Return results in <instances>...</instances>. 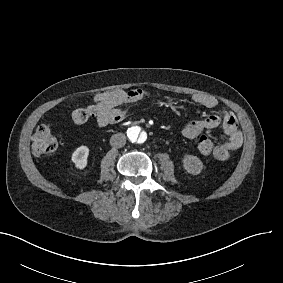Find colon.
I'll return each mask as SVG.
<instances>
[{
    "mask_svg": "<svg viewBox=\"0 0 283 283\" xmlns=\"http://www.w3.org/2000/svg\"><path fill=\"white\" fill-rule=\"evenodd\" d=\"M95 116L93 107H78L71 113V122L77 125L84 124L92 120ZM195 143L200 152L212 154L214 152V142L210 135L199 132L195 136ZM57 141L53 134L52 126L43 124L37 127L33 140L32 150L36 155L45 156L56 150Z\"/></svg>",
    "mask_w": 283,
    "mask_h": 283,
    "instance_id": "5ec220e1",
    "label": "colon"
}]
</instances>
